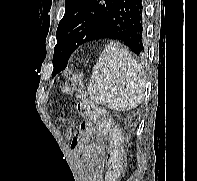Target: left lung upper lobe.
<instances>
[{
	"label": "left lung upper lobe",
	"instance_id": "5c2ea615",
	"mask_svg": "<svg viewBox=\"0 0 197 181\" xmlns=\"http://www.w3.org/2000/svg\"><path fill=\"white\" fill-rule=\"evenodd\" d=\"M114 0H66L65 14L57 28L53 73L67 66L71 54L80 45L93 40L94 34Z\"/></svg>",
	"mask_w": 197,
	"mask_h": 181
}]
</instances>
